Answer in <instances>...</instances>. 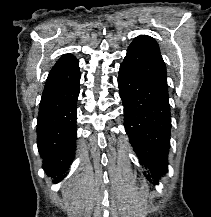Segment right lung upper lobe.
<instances>
[{
	"mask_svg": "<svg viewBox=\"0 0 211 217\" xmlns=\"http://www.w3.org/2000/svg\"><path fill=\"white\" fill-rule=\"evenodd\" d=\"M78 72V60L71 54L63 55L50 71L44 91L70 82Z\"/></svg>",
	"mask_w": 211,
	"mask_h": 217,
	"instance_id": "right-lung-upper-lobe-1",
	"label": "right lung upper lobe"
}]
</instances>
